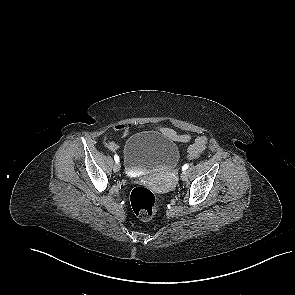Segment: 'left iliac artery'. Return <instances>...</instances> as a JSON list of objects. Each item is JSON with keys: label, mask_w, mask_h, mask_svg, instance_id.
Returning <instances> with one entry per match:
<instances>
[{"label": "left iliac artery", "mask_w": 295, "mask_h": 295, "mask_svg": "<svg viewBox=\"0 0 295 295\" xmlns=\"http://www.w3.org/2000/svg\"><path fill=\"white\" fill-rule=\"evenodd\" d=\"M188 167H189V165L185 164V165L182 166V170L184 171V170L188 169Z\"/></svg>", "instance_id": "left-iliac-artery-1"}]
</instances>
